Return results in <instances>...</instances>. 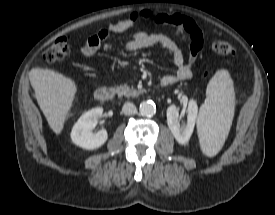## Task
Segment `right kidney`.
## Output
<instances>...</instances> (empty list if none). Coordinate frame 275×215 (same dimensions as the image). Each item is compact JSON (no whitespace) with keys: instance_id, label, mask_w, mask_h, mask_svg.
<instances>
[{"instance_id":"right-kidney-1","label":"right kidney","mask_w":275,"mask_h":215,"mask_svg":"<svg viewBox=\"0 0 275 215\" xmlns=\"http://www.w3.org/2000/svg\"><path fill=\"white\" fill-rule=\"evenodd\" d=\"M102 114L103 109L100 107L93 108L82 114L71 131V139L75 145L83 149L93 150L106 142L108 138L106 130L102 129L97 133L92 132Z\"/></svg>"}]
</instances>
